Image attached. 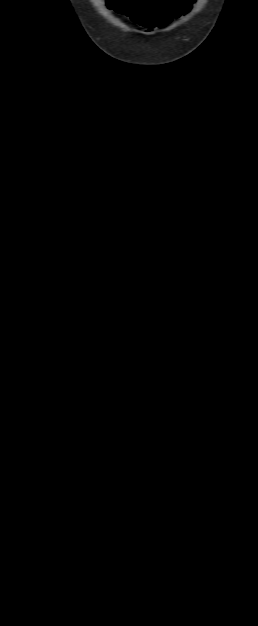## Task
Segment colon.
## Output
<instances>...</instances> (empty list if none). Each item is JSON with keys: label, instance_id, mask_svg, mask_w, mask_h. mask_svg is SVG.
Wrapping results in <instances>:
<instances>
[{"label": "colon", "instance_id": "colon-1", "mask_svg": "<svg viewBox=\"0 0 258 626\" xmlns=\"http://www.w3.org/2000/svg\"><path fill=\"white\" fill-rule=\"evenodd\" d=\"M118 8H119V7H118ZM164 18H165V16H164L163 18H161V19L156 20L154 24H157V25H158V24H161V22H162V20H163Z\"/></svg>", "mask_w": 258, "mask_h": 626}]
</instances>
